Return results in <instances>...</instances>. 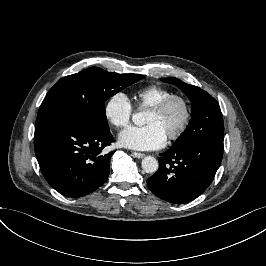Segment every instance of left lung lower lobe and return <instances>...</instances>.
Wrapping results in <instances>:
<instances>
[{
  "label": "left lung lower lobe",
  "mask_w": 266,
  "mask_h": 266,
  "mask_svg": "<svg viewBox=\"0 0 266 266\" xmlns=\"http://www.w3.org/2000/svg\"><path fill=\"white\" fill-rule=\"evenodd\" d=\"M223 141L203 139L161 153L158 171L147 179L157 197L185 204L200 196L211 184L221 163Z\"/></svg>",
  "instance_id": "left-lung-lower-lobe-1"
}]
</instances>
